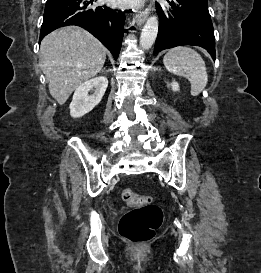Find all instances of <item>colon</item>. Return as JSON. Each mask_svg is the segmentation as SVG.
<instances>
[{"instance_id":"obj_1","label":"colon","mask_w":261,"mask_h":273,"mask_svg":"<svg viewBox=\"0 0 261 273\" xmlns=\"http://www.w3.org/2000/svg\"><path fill=\"white\" fill-rule=\"evenodd\" d=\"M121 197L129 206L135 207L120 220L121 237L134 244L148 242L162 224L161 208L153 203L152 196L138 195L128 187L122 190Z\"/></svg>"}]
</instances>
